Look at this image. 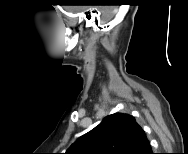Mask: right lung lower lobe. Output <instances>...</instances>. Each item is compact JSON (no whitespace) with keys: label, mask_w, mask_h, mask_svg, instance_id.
Returning a JSON list of instances; mask_svg holds the SVG:
<instances>
[{"label":"right lung lower lobe","mask_w":188,"mask_h":154,"mask_svg":"<svg viewBox=\"0 0 188 154\" xmlns=\"http://www.w3.org/2000/svg\"><path fill=\"white\" fill-rule=\"evenodd\" d=\"M148 154H153V153H152V150H151V151H149V152H148Z\"/></svg>","instance_id":"right-lung-lower-lobe-1"}]
</instances>
